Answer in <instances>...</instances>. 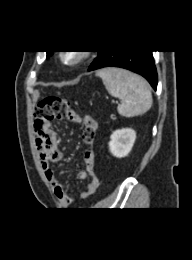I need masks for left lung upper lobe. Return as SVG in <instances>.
Instances as JSON below:
<instances>
[{
    "instance_id": "1",
    "label": "left lung upper lobe",
    "mask_w": 192,
    "mask_h": 260,
    "mask_svg": "<svg viewBox=\"0 0 192 260\" xmlns=\"http://www.w3.org/2000/svg\"><path fill=\"white\" fill-rule=\"evenodd\" d=\"M100 52V51H98ZM52 51H47V57H49L51 55Z\"/></svg>"
}]
</instances>
